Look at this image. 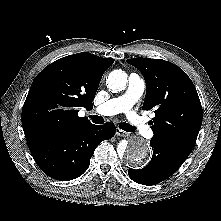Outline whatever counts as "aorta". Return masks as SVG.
I'll return each mask as SVG.
<instances>
[{
	"label": "aorta",
	"mask_w": 221,
	"mask_h": 221,
	"mask_svg": "<svg viewBox=\"0 0 221 221\" xmlns=\"http://www.w3.org/2000/svg\"><path fill=\"white\" fill-rule=\"evenodd\" d=\"M127 81V74L124 71L113 70L108 75V88L112 93L121 92L126 88ZM117 152L132 167L144 166L150 157V147L141 137L122 140L118 144Z\"/></svg>",
	"instance_id": "762f6f07"
}]
</instances>
